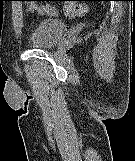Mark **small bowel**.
Returning a JSON list of instances; mask_svg holds the SVG:
<instances>
[{
	"instance_id": "c3829d8e",
	"label": "small bowel",
	"mask_w": 135,
	"mask_h": 161,
	"mask_svg": "<svg viewBox=\"0 0 135 161\" xmlns=\"http://www.w3.org/2000/svg\"><path fill=\"white\" fill-rule=\"evenodd\" d=\"M45 11L54 13L55 12V9L54 8H46Z\"/></svg>"
}]
</instances>
